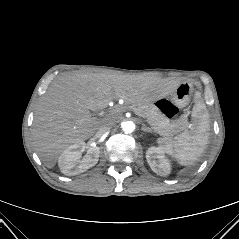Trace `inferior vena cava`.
<instances>
[{"mask_svg": "<svg viewBox=\"0 0 239 239\" xmlns=\"http://www.w3.org/2000/svg\"><path fill=\"white\" fill-rule=\"evenodd\" d=\"M112 126V122L110 120H104V123L97 130V135H103L110 127Z\"/></svg>", "mask_w": 239, "mask_h": 239, "instance_id": "obj_1", "label": "inferior vena cava"}]
</instances>
